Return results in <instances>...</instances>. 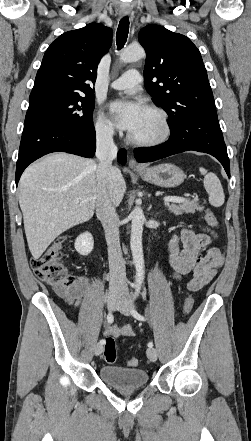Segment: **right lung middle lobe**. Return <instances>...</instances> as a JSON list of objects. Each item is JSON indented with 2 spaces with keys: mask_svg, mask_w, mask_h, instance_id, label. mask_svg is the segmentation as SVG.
<instances>
[{
  "mask_svg": "<svg viewBox=\"0 0 251 441\" xmlns=\"http://www.w3.org/2000/svg\"><path fill=\"white\" fill-rule=\"evenodd\" d=\"M94 96H53L30 101L27 114H37L76 130L93 127Z\"/></svg>",
  "mask_w": 251,
  "mask_h": 441,
  "instance_id": "right-lung-middle-lobe-1",
  "label": "right lung middle lobe"
}]
</instances>
